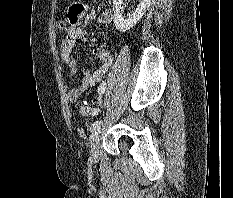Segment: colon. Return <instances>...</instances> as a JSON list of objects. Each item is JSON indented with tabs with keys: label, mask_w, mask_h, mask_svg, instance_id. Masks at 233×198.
Wrapping results in <instances>:
<instances>
[{
	"label": "colon",
	"mask_w": 233,
	"mask_h": 198,
	"mask_svg": "<svg viewBox=\"0 0 233 198\" xmlns=\"http://www.w3.org/2000/svg\"><path fill=\"white\" fill-rule=\"evenodd\" d=\"M57 29L63 31L67 28V22L64 19H59L56 23ZM100 106V100L94 99L92 102L83 100L80 104V113L82 115H89L98 110Z\"/></svg>",
	"instance_id": "5ec220e1"
}]
</instances>
